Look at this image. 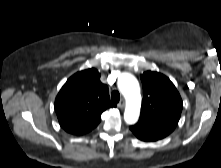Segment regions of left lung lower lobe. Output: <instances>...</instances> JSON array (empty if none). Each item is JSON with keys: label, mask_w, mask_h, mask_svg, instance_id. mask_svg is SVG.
I'll return each mask as SVG.
<instances>
[{"label": "left lung lower lobe", "mask_w": 221, "mask_h": 168, "mask_svg": "<svg viewBox=\"0 0 221 168\" xmlns=\"http://www.w3.org/2000/svg\"><path fill=\"white\" fill-rule=\"evenodd\" d=\"M138 139L142 140V141H146V142H152V141H156L157 139H154L152 137H147V136H140V135H136Z\"/></svg>", "instance_id": "left-lung-lower-lobe-1"}]
</instances>
